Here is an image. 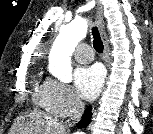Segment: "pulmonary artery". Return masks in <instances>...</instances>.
<instances>
[{
	"label": "pulmonary artery",
	"instance_id": "1",
	"mask_svg": "<svg viewBox=\"0 0 153 134\" xmlns=\"http://www.w3.org/2000/svg\"><path fill=\"white\" fill-rule=\"evenodd\" d=\"M75 59L80 63H88L93 59V53L89 45L83 43L77 46L74 51Z\"/></svg>",
	"mask_w": 153,
	"mask_h": 134
}]
</instances>
